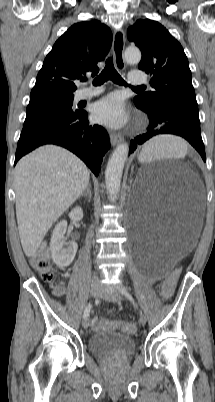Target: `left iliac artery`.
Returning a JSON list of instances; mask_svg holds the SVG:
<instances>
[{
  "mask_svg": "<svg viewBox=\"0 0 215 402\" xmlns=\"http://www.w3.org/2000/svg\"><path fill=\"white\" fill-rule=\"evenodd\" d=\"M120 292H121L122 295L126 296L127 298H129V299L132 298L131 295H130V293L128 292V289H127V288H125V287L121 288V289H120Z\"/></svg>",
  "mask_w": 215,
  "mask_h": 402,
  "instance_id": "obj_1",
  "label": "left iliac artery"
}]
</instances>
